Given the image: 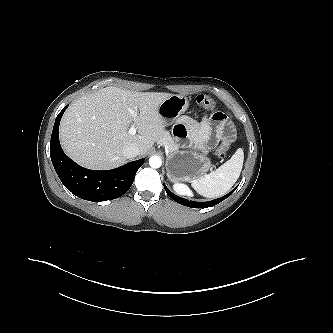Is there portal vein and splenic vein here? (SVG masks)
<instances>
[{"instance_id":"18ae733b","label":"portal vein and splenic vein","mask_w":333,"mask_h":333,"mask_svg":"<svg viewBox=\"0 0 333 333\" xmlns=\"http://www.w3.org/2000/svg\"><path fill=\"white\" fill-rule=\"evenodd\" d=\"M132 113L135 114V115L137 114V112H135V111H132ZM136 131H137V129L134 126H131L128 132L131 135H135Z\"/></svg>"}]
</instances>
